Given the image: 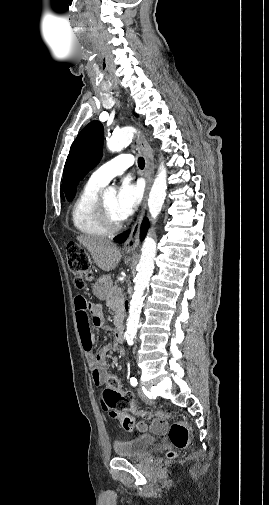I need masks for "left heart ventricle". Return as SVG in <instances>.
<instances>
[{
  "mask_svg": "<svg viewBox=\"0 0 269 505\" xmlns=\"http://www.w3.org/2000/svg\"><path fill=\"white\" fill-rule=\"evenodd\" d=\"M103 203H104V206L106 207L109 215L111 216V218L116 221V222H119L121 221L117 214H116V211H115V205H116V196L115 195H110V196H107L103 199Z\"/></svg>",
  "mask_w": 269,
  "mask_h": 505,
  "instance_id": "left-heart-ventricle-1",
  "label": "left heart ventricle"
}]
</instances>
